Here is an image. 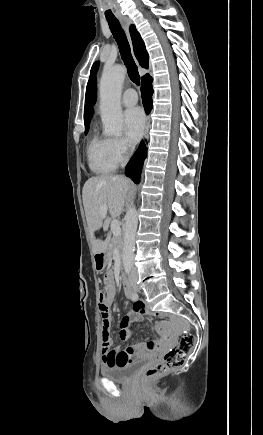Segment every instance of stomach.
<instances>
[{
	"label": "stomach",
	"mask_w": 263,
	"mask_h": 435,
	"mask_svg": "<svg viewBox=\"0 0 263 435\" xmlns=\"http://www.w3.org/2000/svg\"><path fill=\"white\" fill-rule=\"evenodd\" d=\"M109 254L106 252L98 253L95 256V266L99 271H102L109 262Z\"/></svg>",
	"instance_id": "obj_1"
}]
</instances>
